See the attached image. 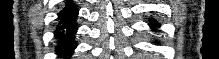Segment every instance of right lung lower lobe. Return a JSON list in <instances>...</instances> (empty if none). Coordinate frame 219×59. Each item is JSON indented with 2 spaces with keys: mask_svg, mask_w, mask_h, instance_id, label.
Here are the masks:
<instances>
[{
  "mask_svg": "<svg viewBox=\"0 0 219 59\" xmlns=\"http://www.w3.org/2000/svg\"><path fill=\"white\" fill-rule=\"evenodd\" d=\"M78 15V9L67 2L64 9L59 13V25L55 31V37L58 40L56 52L60 56H68L76 47L74 37L77 30L75 19Z\"/></svg>",
  "mask_w": 219,
  "mask_h": 59,
  "instance_id": "98d812e1",
  "label": "right lung lower lobe"
}]
</instances>
